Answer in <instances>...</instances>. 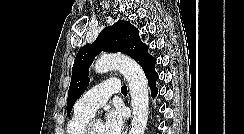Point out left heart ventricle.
Listing matches in <instances>:
<instances>
[{
  "label": "left heart ventricle",
  "mask_w": 244,
  "mask_h": 134,
  "mask_svg": "<svg viewBox=\"0 0 244 134\" xmlns=\"http://www.w3.org/2000/svg\"><path fill=\"white\" fill-rule=\"evenodd\" d=\"M92 134H103V126L100 122H94L92 126Z\"/></svg>",
  "instance_id": "left-heart-ventricle-1"
}]
</instances>
